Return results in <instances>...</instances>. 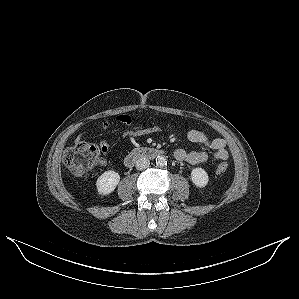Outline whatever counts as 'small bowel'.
Returning <instances> with one entry per match:
<instances>
[{
  "label": "small bowel",
  "mask_w": 299,
  "mask_h": 299,
  "mask_svg": "<svg viewBox=\"0 0 299 299\" xmlns=\"http://www.w3.org/2000/svg\"><path fill=\"white\" fill-rule=\"evenodd\" d=\"M117 120L123 124L130 125L131 118L127 115H119L117 116ZM102 126L107 129L110 127V124L107 120L102 121ZM160 132V128L158 126L151 127H131L129 129L124 130L123 134L125 137H138L144 135H150ZM188 139L197 144H201L210 150H212V157L216 160H226L228 158V151L226 149V141L222 138L210 139L208 136L198 130V129H190L188 131ZM109 141L107 139H103L100 142V150L103 154H107L109 151ZM174 157L176 160L181 162H187L189 164H200L204 163L209 159V154L205 151H191L188 152L184 149H176L174 151Z\"/></svg>",
  "instance_id": "small-bowel-1"
}]
</instances>
